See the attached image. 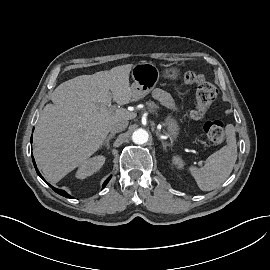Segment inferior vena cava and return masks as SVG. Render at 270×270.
<instances>
[{"mask_svg": "<svg viewBox=\"0 0 270 270\" xmlns=\"http://www.w3.org/2000/svg\"><path fill=\"white\" fill-rule=\"evenodd\" d=\"M128 126V121H119L114 123L111 127H110V131L111 133H117V132H121L123 130H125Z\"/></svg>", "mask_w": 270, "mask_h": 270, "instance_id": "inferior-vena-cava-1", "label": "inferior vena cava"}]
</instances>
